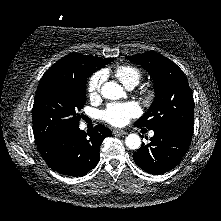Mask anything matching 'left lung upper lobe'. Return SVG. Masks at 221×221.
Listing matches in <instances>:
<instances>
[{
  "mask_svg": "<svg viewBox=\"0 0 221 221\" xmlns=\"http://www.w3.org/2000/svg\"><path fill=\"white\" fill-rule=\"evenodd\" d=\"M126 58L143 66L152 77L155 87L151 107L134 125L192 136L194 100L183 71L174 62L156 52Z\"/></svg>",
  "mask_w": 221,
  "mask_h": 221,
  "instance_id": "left-lung-upper-lobe-1",
  "label": "left lung upper lobe"
}]
</instances>
